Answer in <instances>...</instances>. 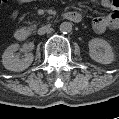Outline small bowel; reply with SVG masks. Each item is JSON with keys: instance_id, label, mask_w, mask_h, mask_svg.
<instances>
[{"instance_id": "obj_1", "label": "small bowel", "mask_w": 119, "mask_h": 119, "mask_svg": "<svg viewBox=\"0 0 119 119\" xmlns=\"http://www.w3.org/2000/svg\"><path fill=\"white\" fill-rule=\"evenodd\" d=\"M100 5L110 12L108 15L94 18L93 29L98 33L108 29H117L119 27V0H101Z\"/></svg>"}]
</instances>
